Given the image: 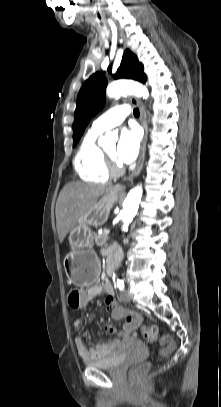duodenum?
<instances>
[{"label":"duodenum","instance_id":"duodenum-1","mask_svg":"<svg viewBox=\"0 0 221 407\" xmlns=\"http://www.w3.org/2000/svg\"><path fill=\"white\" fill-rule=\"evenodd\" d=\"M120 259V254L118 251H113L107 259L106 262V272L111 275Z\"/></svg>","mask_w":221,"mask_h":407}]
</instances>
